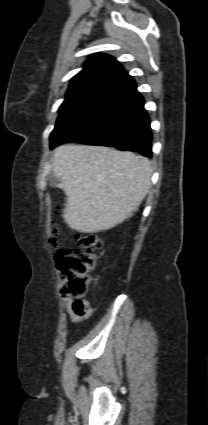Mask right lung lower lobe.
I'll use <instances>...</instances> for the list:
<instances>
[{
	"label": "right lung lower lobe",
	"instance_id": "obj_1",
	"mask_svg": "<svg viewBox=\"0 0 208 425\" xmlns=\"http://www.w3.org/2000/svg\"><path fill=\"white\" fill-rule=\"evenodd\" d=\"M54 148L65 142L113 146L152 156L150 119L135 81L125 72L56 126Z\"/></svg>",
	"mask_w": 208,
	"mask_h": 425
}]
</instances>
